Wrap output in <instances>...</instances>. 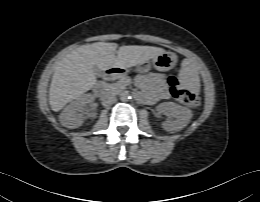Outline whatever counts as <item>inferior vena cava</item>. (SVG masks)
I'll use <instances>...</instances> for the list:
<instances>
[{"label": "inferior vena cava", "mask_w": 260, "mask_h": 202, "mask_svg": "<svg viewBox=\"0 0 260 202\" xmlns=\"http://www.w3.org/2000/svg\"><path fill=\"white\" fill-rule=\"evenodd\" d=\"M117 101V98L115 95H105L103 98H102V104L104 106H110L112 104H114L115 102Z\"/></svg>", "instance_id": "1"}]
</instances>
